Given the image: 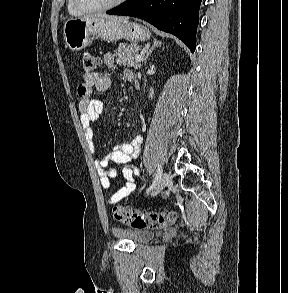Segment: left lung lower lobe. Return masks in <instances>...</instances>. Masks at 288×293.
<instances>
[{
  "instance_id": "left-lung-lower-lobe-1",
  "label": "left lung lower lobe",
  "mask_w": 288,
  "mask_h": 293,
  "mask_svg": "<svg viewBox=\"0 0 288 293\" xmlns=\"http://www.w3.org/2000/svg\"><path fill=\"white\" fill-rule=\"evenodd\" d=\"M200 4L201 0H127L106 13L143 19L175 35L194 52Z\"/></svg>"
}]
</instances>
